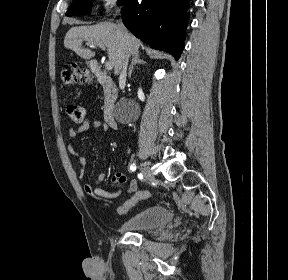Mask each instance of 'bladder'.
I'll return each instance as SVG.
<instances>
[{
  "label": "bladder",
  "instance_id": "1",
  "mask_svg": "<svg viewBox=\"0 0 288 280\" xmlns=\"http://www.w3.org/2000/svg\"><path fill=\"white\" fill-rule=\"evenodd\" d=\"M173 219L172 211L162 205L148 207L124 221L121 229L126 232L145 231L163 227Z\"/></svg>",
  "mask_w": 288,
  "mask_h": 280
}]
</instances>
